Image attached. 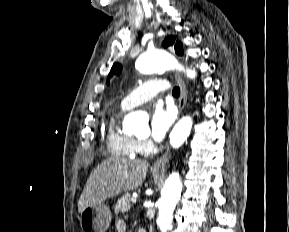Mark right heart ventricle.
Segmentation results:
<instances>
[{"label": "right heart ventricle", "instance_id": "obj_1", "mask_svg": "<svg viewBox=\"0 0 289 232\" xmlns=\"http://www.w3.org/2000/svg\"><path fill=\"white\" fill-rule=\"evenodd\" d=\"M122 105L113 111L108 120L106 143L110 154L113 156L134 158L138 153L137 140L122 132L118 127V119L125 112Z\"/></svg>", "mask_w": 289, "mask_h": 232}]
</instances>
